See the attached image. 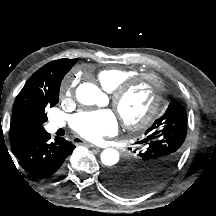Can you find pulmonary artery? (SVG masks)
<instances>
[{
	"mask_svg": "<svg viewBox=\"0 0 216 216\" xmlns=\"http://www.w3.org/2000/svg\"><path fill=\"white\" fill-rule=\"evenodd\" d=\"M64 126V122L58 119L51 120L48 127L51 131H55Z\"/></svg>",
	"mask_w": 216,
	"mask_h": 216,
	"instance_id": "obj_1",
	"label": "pulmonary artery"
}]
</instances>
